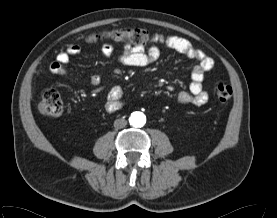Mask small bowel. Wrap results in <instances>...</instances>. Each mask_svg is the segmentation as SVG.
<instances>
[{
  "instance_id": "small-bowel-1",
  "label": "small bowel",
  "mask_w": 277,
  "mask_h": 218,
  "mask_svg": "<svg viewBox=\"0 0 277 218\" xmlns=\"http://www.w3.org/2000/svg\"><path fill=\"white\" fill-rule=\"evenodd\" d=\"M153 39L155 44L146 51L141 48L126 47L119 55L120 63L125 66L133 67L149 65L160 57L159 44H165L170 49L182 53L189 59L198 62L191 72L189 90L180 92L178 95L179 102L182 104H205L208 101V95L203 90L202 83L205 73L210 71L213 67V59L207 56L202 50L195 48L191 42L185 38L179 36L164 37L162 35H156ZM101 51L104 57L110 58L113 56V47L109 44L103 45ZM80 53L81 47L76 44L70 45L66 50L60 51L49 66L50 72L58 76H67L68 70L66 66L73 56H77ZM88 81L90 85L97 86L100 83V78L97 75H93ZM121 95V89L114 87L110 92V99L112 101L117 100Z\"/></svg>"
}]
</instances>
